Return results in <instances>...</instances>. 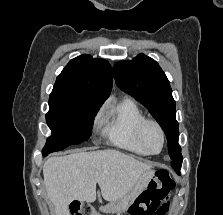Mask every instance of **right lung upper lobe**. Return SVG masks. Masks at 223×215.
I'll list each match as a JSON object with an SVG mask.
<instances>
[{"label": "right lung upper lobe", "instance_id": "1", "mask_svg": "<svg viewBox=\"0 0 223 215\" xmlns=\"http://www.w3.org/2000/svg\"><path fill=\"white\" fill-rule=\"evenodd\" d=\"M112 88V69L104 59L82 55L58 75L49 104L101 106Z\"/></svg>", "mask_w": 223, "mask_h": 215}]
</instances>
